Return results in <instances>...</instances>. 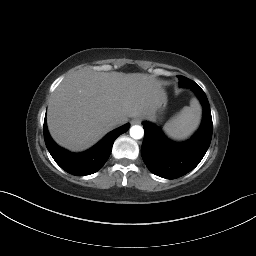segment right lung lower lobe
<instances>
[{
	"label": "right lung lower lobe",
	"instance_id": "right-lung-lower-lobe-1",
	"mask_svg": "<svg viewBox=\"0 0 256 256\" xmlns=\"http://www.w3.org/2000/svg\"><path fill=\"white\" fill-rule=\"evenodd\" d=\"M130 127L127 123L108 133L99 143L83 153H71L59 147L50 137L46 120L44 121V140L55 162L66 172L75 176L90 175L97 172L110 156L115 139Z\"/></svg>",
	"mask_w": 256,
	"mask_h": 256
}]
</instances>
